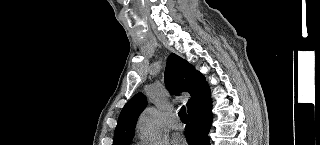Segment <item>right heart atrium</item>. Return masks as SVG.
<instances>
[{
	"instance_id": "d8ad5b80",
	"label": "right heart atrium",
	"mask_w": 320,
	"mask_h": 145,
	"mask_svg": "<svg viewBox=\"0 0 320 145\" xmlns=\"http://www.w3.org/2000/svg\"><path fill=\"white\" fill-rule=\"evenodd\" d=\"M138 145H162V142L161 141L149 142V141L145 140L143 137H140Z\"/></svg>"
}]
</instances>
